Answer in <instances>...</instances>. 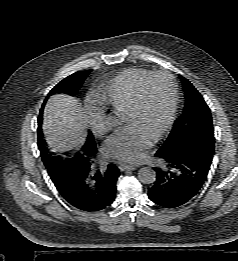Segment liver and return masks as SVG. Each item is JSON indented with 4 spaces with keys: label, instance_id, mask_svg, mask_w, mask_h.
<instances>
[{
    "label": "liver",
    "instance_id": "6515ba94",
    "mask_svg": "<svg viewBox=\"0 0 238 261\" xmlns=\"http://www.w3.org/2000/svg\"><path fill=\"white\" fill-rule=\"evenodd\" d=\"M89 116L79 101L65 94L52 96L44 109L43 131L52 151L80 147L86 138Z\"/></svg>",
    "mask_w": 238,
    "mask_h": 261
}]
</instances>
